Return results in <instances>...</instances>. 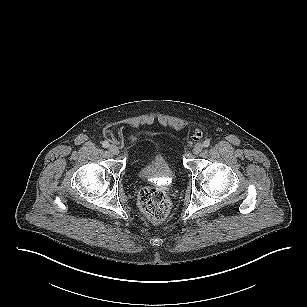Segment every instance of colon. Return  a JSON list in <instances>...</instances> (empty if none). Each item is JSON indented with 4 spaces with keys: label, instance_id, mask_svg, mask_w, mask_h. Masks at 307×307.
<instances>
[{
    "label": "colon",
    "instance_id": "colon-1",
    "mask_svg": "<svg viewBox=\"0 0 307 307\" xmlns=\"http://www.w3.org/2000/svg\"><path fill=\"white\" fill-rule=\"evenodd\" d=\"M138 206L141 212L153 222L165 220L171 209L166 193L158 187H144L138 195Z\"/></svg>",
    "mask_w": 307,
    "mask_h": 307
}]
</instances>
